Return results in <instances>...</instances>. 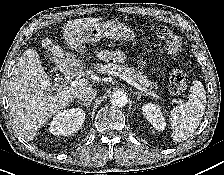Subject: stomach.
I'll return each instance as SVG.
<instances>
[{"instance_id": "obj_1", "label": "stomach", "mask_w": 224, "mask_h": 175, "mask_svg": "<svg viewBox=\"0 0 224 175\" xmlns=\"http://www.w3.org/2000/svg\"><path fill=\"white\" fill-rule=\"evenodd\" d=\"M85 36L87 37L88 41L92 43L100 41V39L103 37H108L110 39L118 40L121 42H133V44L136 40V33L131 27L114 20L99 22L97 25L91 27L88 31H86ZM98 57L104 61H107L109 59H121V57L114 59L113 56L106 54L105 52ZM137 64L140 68L146 67V62L143 60V57H141V55L138 56Z\"/></svg>"}]
</instances>
